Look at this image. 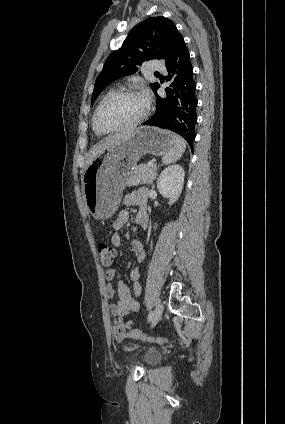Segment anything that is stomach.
<instances>
[{
    "instance_id": "stomach-1",
    "label": "stomach",
    "mask_w": 285,
    "mask_h": 424,
    "mask_svg": "<svg viewBox=\"0 0 285 424\" xmlns=\"http://www.w3.org/2000/svg\"><path fill=\"white\" fill-rule=\"evenodd\" d=\"M173 138L170 131L140 127L128 139L98 155L82 176V192L89 213L97 219L113 216L142 155L167 154L173 147Z\"/></svg>"
}]
</instances>
